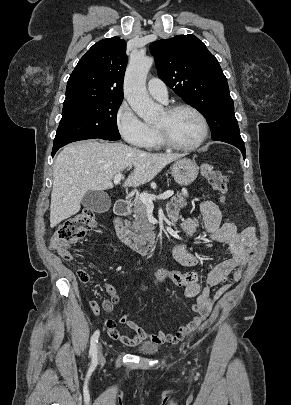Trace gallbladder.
Listing matches in <instances>:
<instances>
[{"label":"gallbladder","mask_w":291,"mask_h":405,"mask_svg":"<svg viewBox=\"0 0 291 405\" xmlns=\"http://www.w3.org/2000/svg\"><path fill=\"white\" fill-rule=\"evenodd\" d=\"M82 205L94 212L104 213L111 207L109 195L101 191H89L82 199Z\"/></svg>","instance_id":"gallbladder-1"}]
</instances>
